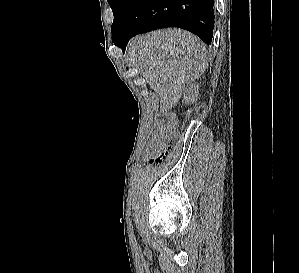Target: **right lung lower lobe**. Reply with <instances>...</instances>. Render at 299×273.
<instances>
[{"mask_svg":"<svg viewBox=\"0 0 299 273\" xmlns=\"http://www.w3.org/2000/svg\"><path fill=\"white\" fill-rule=\"evenodd\" d=\"M214 19V0H134L113 42L125 51L129 39L137 34L178 27L209 45Z\"/></svg>","mask_w":299,"mask_h":273,"instance_id":"right-lung-lower-lobe-1","label":"right lung lower lobe"}]
</instances>
